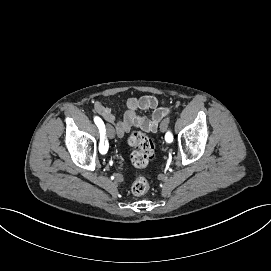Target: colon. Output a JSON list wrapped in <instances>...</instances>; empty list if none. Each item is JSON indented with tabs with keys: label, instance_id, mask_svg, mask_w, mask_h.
Here are the masks:
<instances>
[{
	"label": "colon",
	"instance_id": "colon-1",
	"mask_svg": "<svg viewBox=\"0 0 271 271\" xmlns=\"http://www.w3.org/2000/svg\"><path fill=\"white\" fill-rule=\"evenodd\" d=\"M128 144L133 148L130 159L136 168H144L154 157L153 142L143 133L134 132L128 138ZM150 188L148 180L138 176L132 184V192L135 195H144Z\"/></svg>",
	"mask_w": 271,
	"mask_h": 271
}]
</instances>
